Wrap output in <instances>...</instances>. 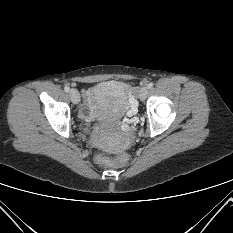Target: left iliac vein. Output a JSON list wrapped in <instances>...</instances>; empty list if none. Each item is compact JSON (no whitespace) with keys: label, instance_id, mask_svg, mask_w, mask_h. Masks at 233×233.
I'll return each mask as SVG.
<instances>
[{"label":"left iliac vein","instance_id":"1","mask_svg":"<svg viewBox=\"0 0 233 233\" xmlns=\"http://www.w3.org/2000/svg\"><path fill=\"white\" fill-rule=\"evenodd\" d=\"M148 91H149L148 87H146V86L141 88V90L139 92V99L141 101H144L146 99V97L148 95Z\"/></svg>","mask_w":233,"mask_h":233}]
</instances>
